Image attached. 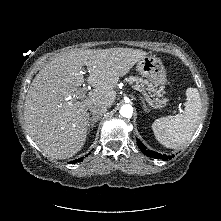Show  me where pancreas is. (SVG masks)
Masks as SVG:
<instances>
[{
  "instance_id": "obj_1",
  "label": "pancreas",
  "mask_w": 221,
  "mask_h": 221,
  "mask_svg": "<svg viewBox=\"0 0 221 221\" xmlns=\"http://www.w3.org/2000/svg\"><path fill=\"white\" fill-rule=\"evenodd\" d=\"M124 82L126 83H129L130 85L135 83L134 86H137L141 89H145L147 90L148 92L152 93L153 96L157 95V96H161V90H158L157 89V85L153 82H148L147 80H143L141 78H137V77H134V76H130L128 78H125ZM168 100L165 98L163 100H158L156 99V103H159V104H166ZM160 106V105H158Z\"/></svg>"
}]
</instances>
